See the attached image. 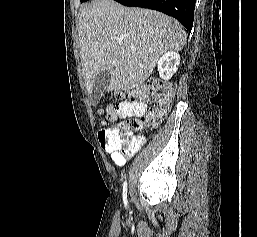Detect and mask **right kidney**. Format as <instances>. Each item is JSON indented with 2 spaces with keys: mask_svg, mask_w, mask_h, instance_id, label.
<instances>
[{
  "mask_svg": "<svg viewBox=\"0 0 257 237\" xmlns=\"http://www.w3.org/2000/svg\"><path fill=\"white\" fill-rule=\"evenodd\" d=\"M180 64V55L174 50L164 53L157 61V69L160 77L167 81L176 72Z\"/></svg>",
  "mask_w": 257,
  "mask_h": 237,
  "instance_id": "right-kidney-1",
  "label": "right kidney"
}]
</instances>
